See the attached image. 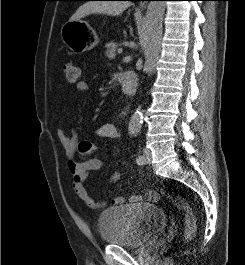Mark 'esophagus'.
<instances>
[{"label": "esophagus", "instance_id": "esophagus-1", "mask_svg": "<svg viewBox=\"0 0 245 265\" xmlns=\"http://www.w3.org/2000/svg\"><path fill=\"white\" fill-rule=\"evenodd\" d=\"M147 6V4L145 3V1H142L139 5V9H145Z\"/></svg>", "mask_w": 245, "mask_h": 265}]
</instances>
